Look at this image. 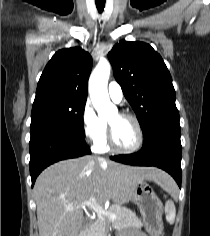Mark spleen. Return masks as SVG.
<instances>
[{"label": "spleen", "instance_id": "3e777b00", "mask_svg": "<svg viewBox=\"0 0 210 236\" xmlns=\"http://www.w3.org/2000/svg\"><path fill=\"white\" fill-rule=\"evenodd\" d=\"M165 190H167L170 193H173L175 190V185L174 182H165L162 186ZM165 214H166V219L169 223H173L175 220V215H176V209L175 205L172 201H167L165 205Z\"/></svg>", "mask_w": 210, "mask_h": 236}]
</instances>
